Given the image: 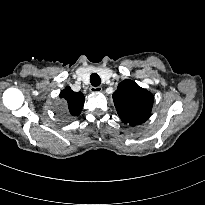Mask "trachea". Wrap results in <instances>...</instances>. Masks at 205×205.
Instances as JSON below:
<instances>
[{
  "label": "trachea",
  "mask_w": 205,
  "mask_h": 205,
  "mask_svg": "<svg viewBox=\"0 0 205 205\" xmlns=\"http://www.w3.org/2000/svg\"><path fill=\"white\" fill-rule=\"evenodd\" d=\"M90 82H91V85H92V86L97 87V86L100 85L101 79H100V77H99L98 74L93 73V74H91V76H90Z\"/></svg>",
  "instance_id": "obj_1"
}]
</instances>
